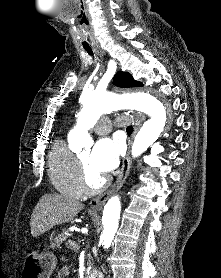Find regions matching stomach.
I'll use <instances>...</instances> for the list:
<instances>
[{
    "label": "stomach",
    "mask_w": 221,
    "mask_h": 278,
    "mask_svg": "<svg viewBox=\"0 0 221 278\" xmlns=\"http://www.w3.org/2000/svg\"><path fill=\"white\" fill-rule=\"evenodd\" d=\"M56 264L57 259L52 253L29 254L23 264V278H50Z\"/></svg>",
    "instance_id": "obj_1"
}]
</instances>
